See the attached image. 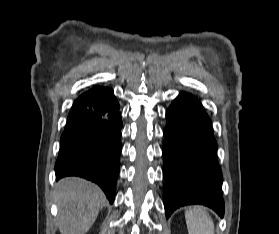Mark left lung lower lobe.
<instances>
[{
  "mask_svg": "<svg viewBox=\"0 0 279 234\" xmlns=\"http://www.w3.org/2000/svg\"><path fill=\"white\" fill-rule=\"evenodd\" d=\"M163 176L168 218L177 208L203 204L224 215L222 172L211 120L201 103L181 93L166 112Z\"/></svg>",
  "mask_w": 279,
  "mask_h": 234,
  "instance_id": "1",
  "label": "left lung lower lobe"
}]
</instances>
